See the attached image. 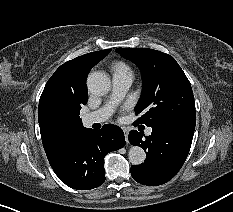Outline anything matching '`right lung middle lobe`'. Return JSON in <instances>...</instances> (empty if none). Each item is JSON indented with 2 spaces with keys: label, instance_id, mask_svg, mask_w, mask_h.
Instances as JSON below:
<instances>
[{
  "label": "right lung middle lobe",
  "instance_id": "obj_1",
  "mask_svg": "<svg viewBox=\"0 0 233 212\" xmlns=\"http://www.w3.org/2000/svg\"><path fill=\"white\" fill-rule=\"evenodd\" d=\"M80 109H81V105L79 104V105L76 107V109L74 110L73 118L76 119V120H80V117H79Z\"/></svg>",
  "mask_w": 233,
  "mask_h": 212
}]
</instances>
